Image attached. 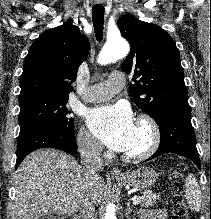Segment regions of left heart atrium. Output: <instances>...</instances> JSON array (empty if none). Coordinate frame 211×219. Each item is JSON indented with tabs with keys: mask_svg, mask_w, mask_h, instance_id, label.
Returning <instances> with one entry per match:
<instances>
[{
	"mask_svg": "<svg viewBox=\"0 0 211 219\" xmlns=\"http://www.w3.org/2000/svg\"><path fill=\"white\" fill-rule=\"evenodd\" d=\"M87 123L92 133L112 150L126 152L134 141L136 124L131 111L124 105L93 109Z\"/></svg>",
	"mask_w": 211,
	"mask_h": 219,
	"instance_id": "obj_1",
	"label": "left heart atrium"
}]
</instances>
